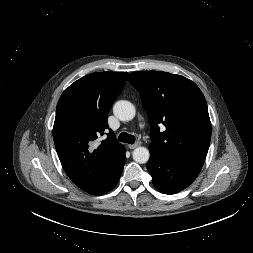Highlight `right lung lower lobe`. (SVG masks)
<instances>
[{
  "instance_id": "1",
  "label": "right lung lower lobe",
  "mask_w": 253,
  "mask_h": 253,
  "mask_svg": "<svg viewBox=\"0 0 253 253\" xmlns=\"http://www.w3.org/2000/svg\"><path fill=\"white\" fill-rule=\"evenodd\" d=\"M125 158L126 157L124 150V152L119 156L118 160L115 162L104 180L100 182L97 186L92 188L88 193L93 195H102L111 191L120 179L125 164Z\"/></svg>"
}]
</instances>
